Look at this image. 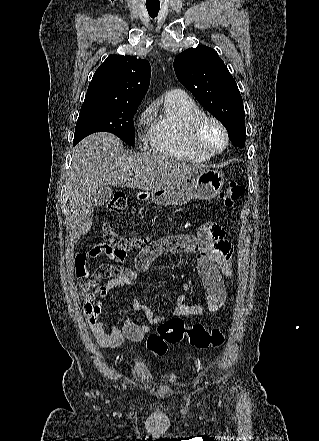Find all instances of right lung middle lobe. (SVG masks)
I'll list each match as a JSON object with an SVG mask.
<instances>
[{"mask_svg":"<svg viewBox=\"0 0 319 441\" xmlns=\"http://www.w3.org/2000/svg\"><path fill=\"white\" fill-rule=\"evenodd\" d=\"M138 105L116 102H84L77 120L73 145L94 132L106 131L125 143H135L133 117Z\"/></svg>","mask_w":319,"mask_h":441,"instance_id":"obj_1","label":"right lung middle lobe"}]
</instances>
